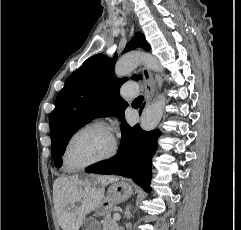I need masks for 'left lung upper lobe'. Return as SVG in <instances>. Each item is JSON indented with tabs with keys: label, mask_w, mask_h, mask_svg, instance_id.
<instances>
[{
	"label": "left lung upper lobe",
	"mask_w": 241,
	"mask_h": 230,
	"mask_svg": "<svg viewBox=\"0 0 241 230\" xmlns=\"http://www.w3.org/2000/svg\"><path fill=\"white\" fill-rule=\"evenodd\" d=\"M137 46L151 49L144 35L136 33L123 53ZM116 60V54L112 59L104 54L90 57L72 73L59 92L49 119L51 155L57 167L62 165V153L70 138L83 125L98 117L115 116L124 120L126 102L118 96V88L127 78L113 76ZM132 78L141 79V76Z\"/></svg>",
	"instance_id": "left-lung-upper-lobe-1"
}]
</instances>
